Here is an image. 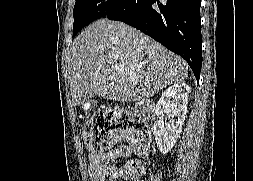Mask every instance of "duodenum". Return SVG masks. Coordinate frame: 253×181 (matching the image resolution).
I'll list each match as a JSON object with an SVG mask.
<instances>
[{"label": "duodenum", "mask_w": 253, "mask_h": 181, "mask_svg": "<svg viewBox=\"0 0 253 181\" xmlns=\"http://www.w3.org/2000/svg\"><path fill=\"white\" fill-rule=\"evenodd\" d=\"M138 109L143 117L147 119H152L154 117V104L152 101H144L142 104L139 105Z\"/></svg>", "instance_id": "obj_1"}]
</instances>
